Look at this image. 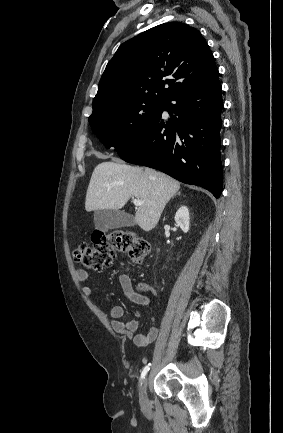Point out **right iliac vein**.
I'll return each instance as SVG.
<instances>
[{"mask_svg": "<svg viewBox=\"0 0 283 433\" xmlns=\"http://www.w3.org/2000/svg\"><path fill=\"white\" fill-rule=\"evenodd\" d=\"M147 386H148V376H146L142 382L141 385V394H140V404L143 408V410H146L147 406H148V401H147Z\"/></svg>", "mask_w": 283, "mask_h": 433, "instance_id": "right-iliac-vein-1", "label": "right iliac vein"}]
</instances>
